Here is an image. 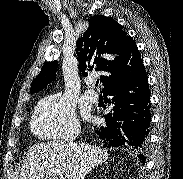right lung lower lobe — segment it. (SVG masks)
Listing matches in <instances>:
<instances>
[{
    "label": "right lung lower lobe",
    "instance_id": "1",
    "mask_svg": "<svg viewBox=\"0 0 183 179\" xmlns=\"http://www.w3.org/2000/svg\"><path fill=\"white\" fill-rule=\"evenodd\" d=\"M112 111L104 116L106 124L96 130L103 147H124L137 153L145 164L150 114V92L143 63L130 75L103 89ZM96 129V126L94 127Z\"/></svg>",
    "mask_w": 183,
    "mask_h": 179
}]
</instances>
